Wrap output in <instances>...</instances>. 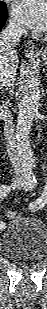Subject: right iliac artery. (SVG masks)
<instances>
[{
  "label": "right iliac artery",
  "instance_id": "1",
  "mask_svg": "<svg viewBox=\"0 0 47 309\" xmlns=\"http://www.w3.org/2000/svg\"><path fill=\"white\" fill-rule=\"evenodd\" d=\"M25 178H26V183H27V187L31 189L34 188L35 186V182H36V179H35V176L33 175L32 173V170H31V167L28 166L25 168ZM11 191V187L8 186V185H2L1 188H0V198H5L9 192ZM4 227V223L1 222L0 224V228H3Z\"/></svg>",
  "mask_w": 47,
  "mask_h": 309
}]
</instances>
